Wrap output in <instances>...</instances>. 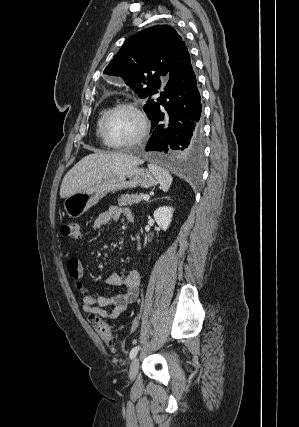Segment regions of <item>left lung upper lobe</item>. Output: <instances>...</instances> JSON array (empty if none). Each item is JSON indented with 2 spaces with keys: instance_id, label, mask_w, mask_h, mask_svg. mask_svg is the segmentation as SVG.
<instances>
[{
  "instance_id": "5c2ea615",
  "label": "left lung upper lobe",
  "mask_w": 299,
  "mask_h": 427,
  "mask_svg": "<svg viewBox=\"0 0 299 427\" xmlns=\"http://www.w3.org/2000/svg\"><path fill=\"white\" fill-rule=\"evenodd\" d=\"M182 37L168 25H156L129 38L104 70L120 76L142 99H148L144 111L150 119L158 93L160 76L168 75Z\"/></svg>"
}]
</instances>
